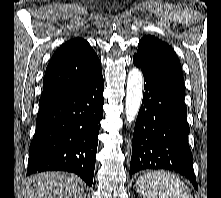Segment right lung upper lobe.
I'll list each match as a JSON object with an SVG mask.
<instances>
[{
    "label": "right lung upper lobe",
    "mask_w": 221,
    "mask_h": 198,
    "mask_svg": "<svg viewBox=\"0 0 221 198\" xmlns=\"http://www.w3.org/2000/svg\"><path fill=\"white\" fill-rule=\"evenodd\" d=\"M100 72V60L86 40L75 38L62 44L46 68L39 105L77 89Z\"/></svg>",
    "instance_id": "right-lung-upper-lobe-1"
}]
</instances>
